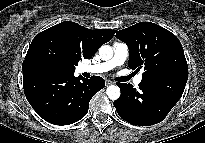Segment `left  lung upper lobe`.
<instances>
[{"label":"left lung upper lobe","instance_id":"obj_1","mask_svg":"<svg viewBox=\"0 0 205 143\" xmlns=\"http://www.w3.org/2000/svg\"><path fill=\"white\" fill-rule=\"evenodd\" d=\"M116 37L129 47L128 66L142 78L170 72L188 73V65L179 39L167 29L140 22L119 30Z\"/></svg>","mask_w":205,"mask_h":143}]
</instances>
